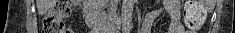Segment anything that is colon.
Here are the masks:
<instances>
[{
    "label": "colon",
    "instance_id": "1",
    "mask_svg": "<svg viewBox=\"0 0 235 33\" xmlns=\"http://www.w3.org/2000/svg\"><path fill=\"white\" fill-rule=\"evenodd\" d=\"M70 13L67 0L58 1L45 16L42 33H74L63 22ZM205 11L199 1L188 0L184 4L183 19L186 27L192 31L197 30L203 23Z\"/></svg>",
    "mask_w": 235,
    "mask_h": 33
}]
</instances>
